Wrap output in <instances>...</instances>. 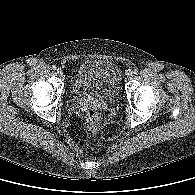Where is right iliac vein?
I'll use <instances>...</instances> for the list:
<instances>
[{"label": "right iliac vein", "instance_id": "1", "mask_svg": "<svg viewBox=\"0 0 195 195\" xmlns=\"http://www.w3.org/2000/svg\"><path fill=\"white\" fill-rule=\"evenodd\" d=\"M57 75L60 77L63 76V71L60 68L57 69Z\"/></svg>", "mask_w": 195, "mask_h": 195}]
</instances>
